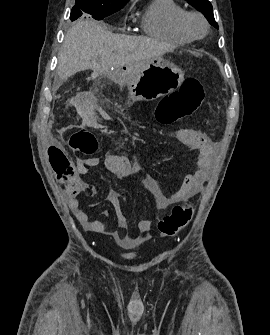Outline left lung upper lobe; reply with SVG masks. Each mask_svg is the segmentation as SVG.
<instances>
[{
	"label": "left lung upper lobe",
	"instance_id": "5c2ea615",
	"mask_svg": "<svg viewBox=\"0 0 270 335\" xmlns=\"http://www.w3.org/2000/svg\"><path fill=\"white\" fill-rule=\"evenodd\" d=\"M189 4L195 7L198 11L204 14L209 23L218 29V25L214 19L213 7L208 0H186Z\"/></svg>",
	"mask_w": 270,
	"mask_h": 335
}]
</instances>
